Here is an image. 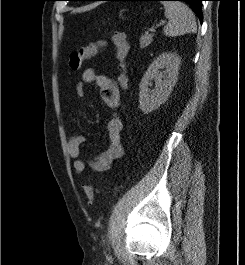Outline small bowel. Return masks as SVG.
<instances>
[{
  "mask_svg": "<svg viewBox=\"0 0 245 265\" xmlns=\"http://www.w3.org/2000/svg\"><path fill=\"white\" fill-rule=\"evenodd\" d=\"M85 84L96 85L100 90L102 100L109 108L116 109L119 107L121 102L120 88L114 79L97 73L93 68H88L82 74V81L76 84L75 90L78 97H85ZM122 129L121 118L116 114L112 115L107 125V148L88 163L93 171L104 172L108 170L112 162L122 155ZM84 142L85 137L80 134L72 135L67 142L68 154L73 160V169L76 174L83 173L86 168V163L79 158L80 147Z\"/></svg>",
  "mask_w": 245,
  "mask_h": 265,
  "instance_id": "small-bowel-1",
  "label": "small bowel"
}]
</instances>
